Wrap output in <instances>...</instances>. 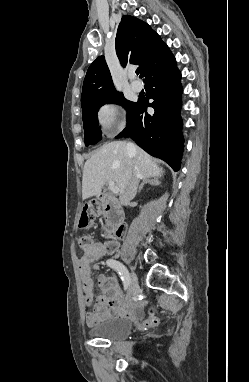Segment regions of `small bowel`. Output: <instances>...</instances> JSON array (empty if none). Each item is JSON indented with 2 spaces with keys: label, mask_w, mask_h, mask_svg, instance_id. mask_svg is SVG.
<instances>
[{
  "label": "small bowel",
  "mask_w": 249,
  "mask_h": 382,
  "mask_svg": "<svg viewBox=\"0 0 249 382\" xmlns=\"http://www.w3.org/2000/svg\"><path fill=\"white\" fill-rule=\"evenodd\" d=\"M118 241L110 243L93 242L90 248L83 250L78 259V269L84 294V302L90 306L94 303V282L92 279V264L96 263L106 254H115L119 251ZM98 265L94 264V268ZM102 295L96 300L93 310L86 314V323L93 326L101 320L110 317H127L135 315L141 304L122 297L118 279L115 276L100 274L97 279Z\"/></svg>",
  "instance_id": "small-bowel-1"
}]
</instances>
